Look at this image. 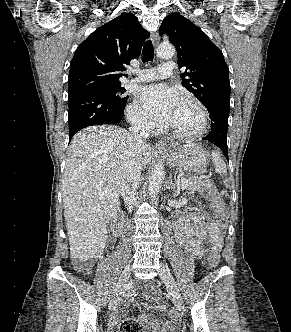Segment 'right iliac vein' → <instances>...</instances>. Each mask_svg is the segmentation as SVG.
I'll return each instance as SVG.
<instances>
[{
  "label": "right iliac vein",
  "mask_w": 291,
  "mask_h": 332,
  "mask_svg": "<svg viewBox=\"0 0 291 332\" xmlns=\"http://www.w3.org/2000/svg\"><path fill=\"white\" fill-rule=\"evenodd\" d=\"M130 273H131V266L127 265L124 269V271L122 272L119 281L116 285L115 291L113 293L112 299L110 301L109 304V310L112 311L114 310L115 306L117 305V303L120 300V297L127 285L128 279L130 277Z\"/></svg>",
  "instance_id": "obj_1"
}]
</instances>
